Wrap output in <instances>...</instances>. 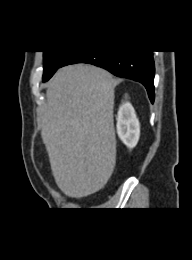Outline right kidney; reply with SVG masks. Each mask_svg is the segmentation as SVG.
I'll return each instance as SVG.
<instances>
[{
    "instance_id": "obj_1",
    "label": "right kidney",
    "mask_w": 192,
    "mask_h": 260,
    "mask_svg": "<svg viewBox=\"0 0 192 260\" xmlns=\"http://www.w3.org/2000/svg\"><path fill=\"white\" fill-rule=\"evenodd\" d=\"M117 133L127 147L133 148L137 145L140 137V124L130 103H124L119 108Z\"/></svg>"
}]
</instances>
